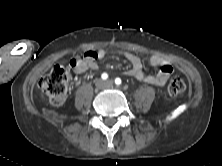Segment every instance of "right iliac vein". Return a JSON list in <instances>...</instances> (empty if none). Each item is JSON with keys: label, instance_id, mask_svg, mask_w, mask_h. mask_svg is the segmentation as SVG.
Masks as SVG:
<instances>
[{"label": "right iliac vein", "instance_id": "63e3f726", "mask_svg": "<svg viewBox=\"0 0 222 166\" xmlns=\"http://www.w3.org/2000/svg\"><path fill=\"white\" fill-rule=\"evenodd\" d=\"M95 84L98 88H103L104 87V82H103L102 79H98Z\"/></svg>", "mask_w": 222, "mask_h": 166}]
</instances>
